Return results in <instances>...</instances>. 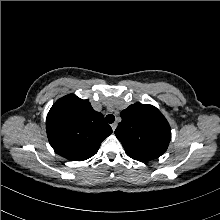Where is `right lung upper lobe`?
Here are the masks:
<instances>
[{
    "label": "right lung upper lobe",
    "instance_id": "1",
    "mask_svg": "<svg viewBox=\"0 0 220 220\" xmlns=\"http://www.w3.org/2000/svg\"><path fill=\"white\" fill-rule=\"evenodd\" d=\"M46 130L55 152L73 161L95 155L101 142L112 133L103 115L92 108L89 100L73 94L60 98L51 107Z\"/></svg>",
    "mask_w": 220,
    "mask_h": 220
}]
</instances>
